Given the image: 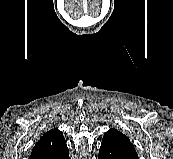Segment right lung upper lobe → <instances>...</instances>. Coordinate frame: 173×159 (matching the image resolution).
I'll return each instance as SVG.
<instances>
[{"mask_svg":"<svg viewBox=\"0 0 173 159\" xmlns=\"http://www.w3.org/2000/svg\"><path fill=\"white\" fill-rule=\"evenodd\" d=\"M67 149L62 132L55 128L36 142L29 159H52Z\"/></svg>","mask_w":173,"mask_h":159,"instance_id":"1","label":"right lung upper lobe"}]
</instances>
